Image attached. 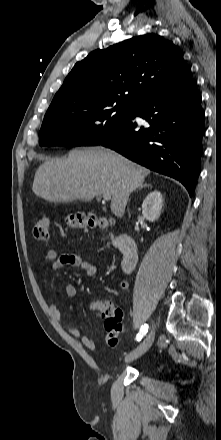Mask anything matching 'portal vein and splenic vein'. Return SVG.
I'll use <instances>...</instances> for the list:
<instances>
[{"label": "portal vein and splenic vein", "instance_id": "obj_1", "mask_svg": "<svg viewBox=\"0 0 221 440\" xmlns=\"http://www.w3.org/2000/svg\"><path fill=\"white\" fill-rule=\"evenodd\" d=\"M103 198H104V200H110L111 194L109 192H105V193H103Z\"/></svg>", "mask_w": 221, "mask_h": 440}]
</instances>
